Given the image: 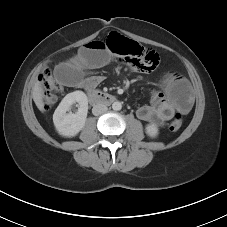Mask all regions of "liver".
Segmentation results:
<instances>
[{
    "label": "liver",
    "instance_id": "obj_1",
    "mask_svg": "<svg viewBox=\"0 0 227 227\" xmlns=\"http://www.w3.org/2000/svg\"><path fill=\"white\" fill-rule=\"evenodd\" d=\"M32 97L40 111H44L43 90L40 81H36L32 88Z\"/></svg>",
    "mask_w": 227,
    "mask_h": 227
}]
</instances>
